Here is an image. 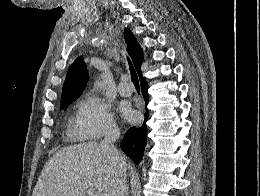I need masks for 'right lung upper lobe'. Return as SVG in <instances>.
Instances as JSON below:
<instances>
[{
	"label": "right lung upper lobe",
	"instance_id": "cb5924a9",
	"mask_svg": "<svg viewBox=\"0 0 260 196\" xmlns=\"http://www.w3.org/2000/svg\"><path fill=\"white\" fill-rule=\"evenodd\" d=\"M125 40L127 51L132 59V62L137 70L140 79H142L141 64L143 62V50L136 41L134 35L129 29H125ZM88 81L87 66L82 57H78L70 66L64 86L62 89V99L60 108L69 105L77 99L83 92Z\"/></svg>",
	"mask_w": 260,
	"mask_h": 196
}]
</instances>
